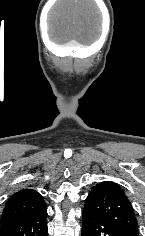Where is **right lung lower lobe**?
Wrapping results in <instances>:
<instances>
[{
  "mask_svg": "<svg viewBox=\"0 0 145 236\" xmlns=\"http://www.w3.org/2000/svg\"><path fill=\"white\" fill-rule=\"evenodd\" d=\"M46 208L1 223L0 236H47Z\"/></svg>",
  "mask_w": 145,
  "mask_h": 236,
  "instance_id": "1",
  "label": "right lung lower lobe"
}]
</instances>
